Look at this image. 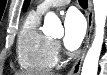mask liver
<instances>
[{
    "label": "liver",
    "mask_w": 107,
    "mask_h": 75,
    "mask_svg": "<svg viewBox=\"0 0 107 75\" xmlns=\"http://www.w3.org/2000/svg\"><path fill=\"white\" fill-rule=\"evenodd\" d=\"M15 75H27L25 72L16 73Z\"/></svg>",
    "instance_id": "6515ba94"
}]
</instances>
